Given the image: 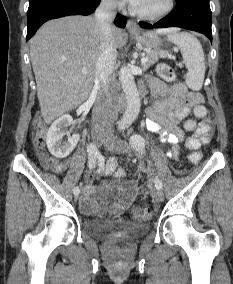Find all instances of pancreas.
I'll list each match as a JSON object with an SVG mask.
<instances>
[{
    "mask_svg": "<svg viewBox=\"0 0 233 284\" xmlns=\"http://www.w3.org/2000/svg\"><path fill=\"white\" fill-rule=\"evenodd\" d=\"M168 56L167 51H148L146 53V57L148 61L145 63H141L142 69L147 70L151 67L154 63L158 61L159 58H166Z\"/></svg>",
    "mask_w": 233,
    "mask_h": 284,
    "instance_id": "1",
    "label": "pancreas"
}]
</instances>
